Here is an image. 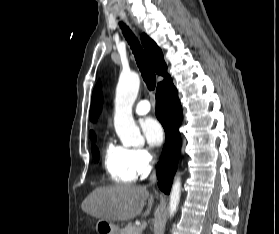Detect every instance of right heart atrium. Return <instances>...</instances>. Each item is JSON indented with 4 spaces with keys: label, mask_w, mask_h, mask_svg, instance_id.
Segmentation results:
<instances>
[{
    "label": "right heart atrium",
    "mask_w": 279,
    "mask_h": 234,
    "mask_svg": "<svg viewBox=\"0 0 279 234\" xmlns=\"http://www.w3.org/2000/svg\"><path fill=\"white\" fill-rule=\"evenodd\" d=\"M132 158L138 174H144L153 165L154 153L149 147H138L132 149Z\"/></svg>",
    "instance_id": "d8ad5b80"
}]
</instances>
